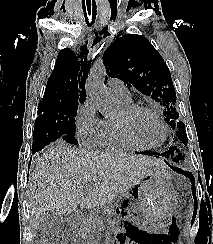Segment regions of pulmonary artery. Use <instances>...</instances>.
<instances>
[{"label":"pulmonary artery","mask_w":213,"mask_h":244,"mask_svg":"<svg viewBox=\"0 0 213 244\" xmlns=\"http://www.w3.org/2000/svg\"><path fill=\"white\" fill-rule=\"evenodd\" d=\"M107 91L121 101H131L127 87L118 78H111L107 81Z\"/></svg>","instance_id":"1"}]
</instances>
